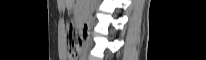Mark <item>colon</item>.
<instances>
[{"label": "colon", "instance_id": "5ec220e1", "mask_svg": "<svg viewBox=\"0 0 206 60\" xmlns=\"http://www.w3.org/2000/svg\"><path fill=\"white\" fill-rule=\"evenodd\" d=\"M67 57L68 60L78 59L83 46V38L77 28L70 24L66 28Z\"/></svg>", "mask_w": 206, "mask_h": 60}]
</instances>
